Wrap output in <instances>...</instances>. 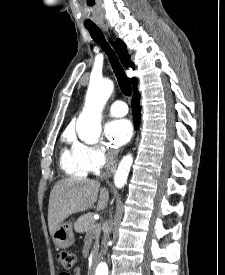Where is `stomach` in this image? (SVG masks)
Returning <instances> with one entry per match:
<instances>
[{
	"label": "stomach",
	"instance_id": "0dacf381",
	"mask_svg": "<svg viewBox=\"0 0 225 275\" xmlns=\"http://www.w3.org/2000/svg\"><path fill=\"white\" fill-rule=\"evenodd\" d=\"M54 244L59 248H67L75 241L71 223H61L52 233Z\"/></svg>",
	"mask_w": 225,
	"mask_h": 275
}]
</instances>
